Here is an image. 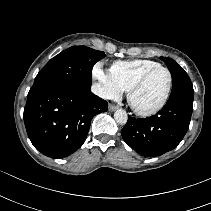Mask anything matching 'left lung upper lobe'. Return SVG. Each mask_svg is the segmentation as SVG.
<instances>
[{"label": "left lung upper lobe", "mask_w": 211, "mask_h": 211, "mask_svg": "<svg viewBox=\"0 0 211 211\" xmlns=\"http://www.w3.org/2000/svg\"><path fill=\"white\" fill-rule=\"evenodd\" d=\"M167 65L173 79L170 97L186 96L194 97L193 85L187 73L172 59L160 57Z\"/></svg>", "instance_id": "obj_1"}]
</instances>
